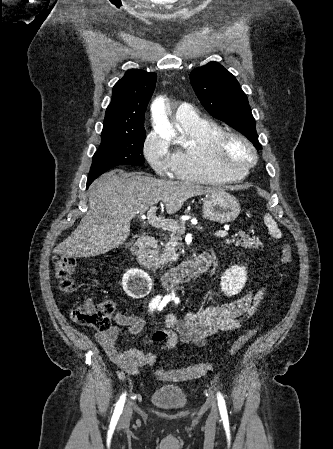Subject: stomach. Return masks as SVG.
I'll return each mask as SVG.
<instances>
[{
  "mask_svg": "<svg viewBox=\"0 0 333 449\" xmlns=\"http://www.w3.org/2000/svg\"><path fill=\"white\" fill-rule=\"evenodd\" d=\"M203 214L205 218L218 223L234 221L240 214L239 201L224 191L218 190L210 193L203 202Z\"/></svg>",
  "mask_w": 333,
  "mask_h": 449,
  "instance_id": "0dacf381",
  "label": "stomach"
}]
</instances>
